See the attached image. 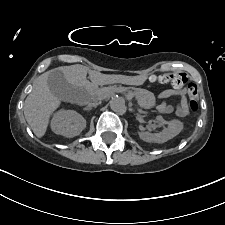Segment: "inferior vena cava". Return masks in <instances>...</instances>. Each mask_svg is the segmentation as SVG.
Returning <instances> with one entry per match:
<instances>
[{"mask_svg": "<svg viewBox=\"0 0 225 225\" xmlns=\"http://www.w3.org/2000/svg\"><path fill=\"white\" fill-rule=\"evenodd\" d=\"M102 98H103V97H101V96L96 97V98L93 100L92 103H89V104H88L87 107H88V108H92V107L98 106V105L101 103Z\"/></svg>", "mask_w": 225, "mask_h": 225, "instance_id": "inferior-vena-cava-1", "label": "inferior vena cava"}]
</instances>
